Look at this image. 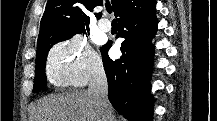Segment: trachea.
<instances>
[{"label": "trachea", "instance_id": "obj_1", "mask_svg": "<svg viewBox=\"0 0 217 121\" xmlns=\"http://www.w3.org/2000/svg\"><path fill=\"white\" fill-rule=\"evenodd\" d=\"M106 10L111 13L112 12V6L111 5H107L106 6Z\"/></svg>", "mask_w": 217, "mask_h": 121}]
</instances>
